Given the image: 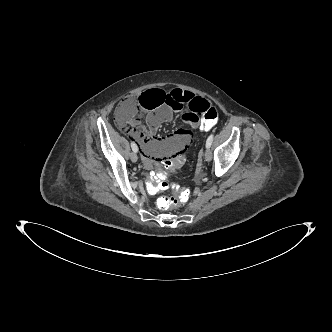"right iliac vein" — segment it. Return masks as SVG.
Segmentation results:
<instances>
[{
	"mask_svg": "<svg viewBox=\"0 0 332 332\" xmlns=\"http://www.w3.org/2000/svg\"><path fill=\"white\" fill-rule=\"evenodd\" d=\"M131 161L132 162H136L138 160V156L136 154V152H132L130 155Z\"/></svg>",
	"mask_w": 332,
	"mask_h": 332,
	"instance_id": "obj_1",
	"label": "right iliac vein"
}]
</instances>
